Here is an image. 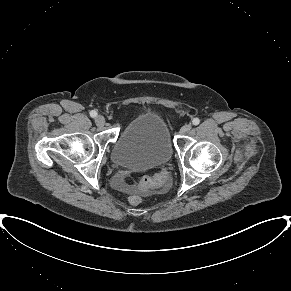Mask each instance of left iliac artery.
Returning a JSON list of instances; mask_svg holds the SVG:
<instances>
[{"instance_id":"left-iliac-artery-1","label":"left iliac artery","mask_w":291,"mask_h":291,"mask_svg":"<svg viewBox=\"0 0 291 291\" xmlns=\"http://www.w3.org/2000/svg\"><path fill=\"white\" fill-rule=\"evenodd\" d=\"M192 123H193V125H198V124L200 123L199 118H194V119L192 120Z\"/></svg>"}]
</instances>
